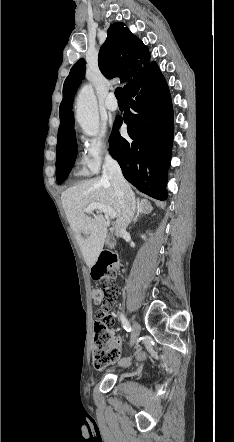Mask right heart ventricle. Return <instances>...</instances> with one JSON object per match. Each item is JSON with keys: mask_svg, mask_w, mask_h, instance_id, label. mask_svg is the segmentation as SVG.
Masks as SVG:
<instances>
[{"mask_svg": "<svg viewBox=\"0 0 234 442\" xmlns=\"http://www.w3.org/2000/svg\"><path fill=\"white\" fill-rule=\"evenodd\" d=\"M92 173L88 168L85 159H80L76 163L75 175L76 176H85Z\"/></svg>", "mask_w": 234, "mask_h": 442, "instance_id": "obj_1", "label": "right heart ventricle"}]
</instances>
